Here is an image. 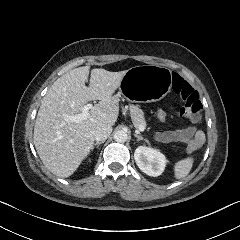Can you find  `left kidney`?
Wrapping results in <instances>:
<instances>
[{"label": "left kidney", "mask_w": 240, "mask_h": 240, "mask_svg": "<svg viewBox=\"0 0 240 240\" xmlns=\"http://www.w3.org/2000/svg\"><path fill=\"white\" fill-rule=\"evenodd\" d=\"M134 159L140 170L152 177L161 176L169 163L167 156L159 149L146 145L136 147Z\"/></svg>", "instance_id": "1"}]
</instances>
